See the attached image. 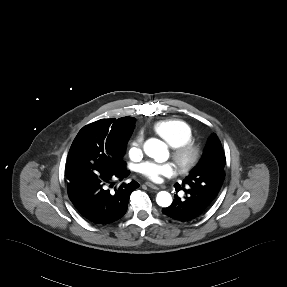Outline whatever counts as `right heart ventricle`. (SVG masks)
I'll use <instances>...</instances> for the list:
<instances>
[{
	"label": "right heart ventricle",
	"mask_w": 287,
	"mask_h": 287,
	"mask_svg": "<svg viewBox=\"0 0 287 287\" xmlns=\"http://www.w3.org/2000/svg\"><path fill=\"white\" fill-rule=\"evenodd\" d=\"M152 130L171 148H176L193 139L191 126L182 119L171 118L158 121L153 125Z\"/></svg>",
	"instance_id": "e07e8e85"
}]
</instances>
